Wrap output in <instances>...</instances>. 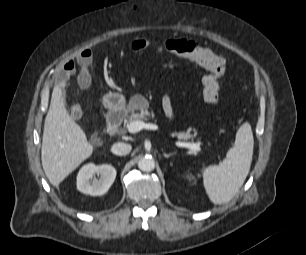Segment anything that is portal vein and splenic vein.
I'll list each match as a JSON object with an SVG mask.
<instances>
[{
  "mask_svg": "<svg viewBox=\"0 0 306 255\" xmlns=\"http://www.w3.org/2000/svg\"><path fill=\"white\" fill-rule=\"evenodd\" d=\"M142 129H148V130H157L158 126L156 124L152 123H145L143 121H132L127 125V130L129 133H137L141 131ZM175 145L177 147H182V148H188L194 152H200L201 148L200 145L197 143H189V142H179L176 141Z\"/></svg>",
  "mask_w": 306,
  "mask_h": 255,
  "instance_id": "1",
  "label": "portal vein and splenic vein"
}]
</instances>
